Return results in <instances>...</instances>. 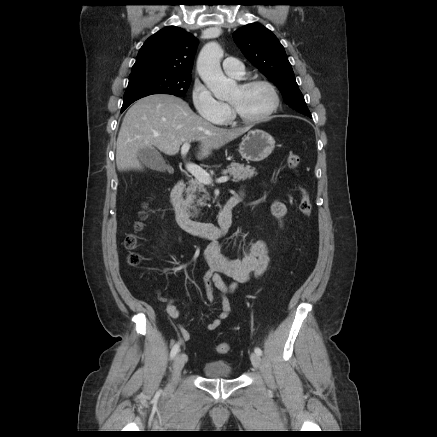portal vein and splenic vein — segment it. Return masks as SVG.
Wrapping results in <instances>:
<instances>
[{
  "label": "portal vein and splenic vein",
  "instance_id": "1",
  "mask_svg": "<svg viewBox=\"0 0 437 437\" xmlns=\"http://www.w3.org/2000/svg\"><path fill=\"white\" fill-rule=\"evenodd\" d=\"M189 149H190V143L189 142L184 143L182 148H181V155L183 157H185L186 154L188 153ZM186 169L200 183L207 184V185L212 183L211 176L205 170H203L201 167H199L198 165L193 164V163H186ZM228 180H229V177L223 176V177L218 178L216 180V182L223 183V182H227Z\"/></svg>",
  "mask_w": 437,
  "mask_h": 437
}]
</instances>
